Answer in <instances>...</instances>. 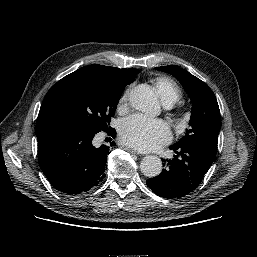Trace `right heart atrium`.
I'll return each mask as SVG.
<instances>
[{
  "mask_svg": "<svg viewBox=\"0 0 257 257\" xmlns=\"http://www.w3.org/2000/svg\"><path fill=\"white\" fill-rule=\"evenodd\" d=\"M128 94L129 91L127 90L120 98L119 100V106L118 109L120 112H124L127 109V101H128Z\"/></svg>",
  "mask_w": 257,
  "mask_h": 257,
  "instance_id": "obj_1",
  "label": "right heart atrium"
}]
</instances>
